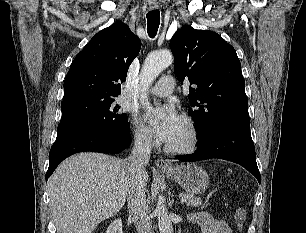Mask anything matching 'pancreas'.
I'll return each mask as SVG.
<instances>
[{
    "mask_svg": "<svg viewBox=\"0 0 306 233\" xmlns=\"http://www.w3.org/2000/svg\"><path fill=\"white\" fill-rule=\"evenodd\" d=\"M182 197L185 198L188 207H200L202 205V200L199 197L188 193L183 194Z\"/></svg>",
    "mask_w": 306,
    "mask_h": 233,
    "instance_id": "cf45deb5",
    "label": "pancreas"
}]
</instances>
